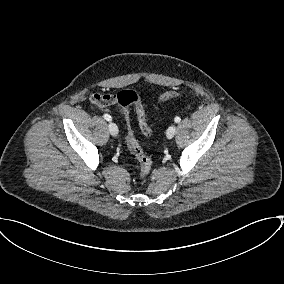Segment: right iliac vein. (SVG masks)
<instances>
[{
    "instance_id": "right-iliac-vein-1",
    "label": "right iliac vein",
    "mask_w": 284,
    "mask_h": 284,
    "mask_svg": "<svg viewBox=\"0 0 284 284\" xmlns=\"http://www.w3.org/2000/svg\"><path fill=\"white\" fill-rule=\"evenodd\" d=\"M108 129H109V132L112 136H117L118 135V127L117 125L114 123V122H110L109 125H108Z\"/></svg>"
}]
</instances>
